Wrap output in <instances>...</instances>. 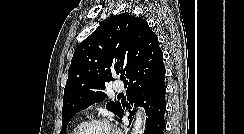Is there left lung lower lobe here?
Returning a JSON list of instances; mask_svg holds the SVG:
<instances>
[{
    "mask_svg": "<svg viewBox=\"0 0 244 134\" xmlns=\"http://www.w3.org/2000/svg\"><path fill=\"white\" fill-rule=\"evenodd\" d=\"M165 83L158 80L156 83L147 86L141 90L127 91V99L134 107L143 106L148 118L144 134H164L165 121L164 114L166 110L165 102ZM123 117V109L118 115ZM131 121V116L129 117Z\"/></svg>",
    "mask_w": 244,
    "mask_h": 134,
    "instance_id": "obj_1",
    "label": "left lung lower lobe"
}]
</instances>
